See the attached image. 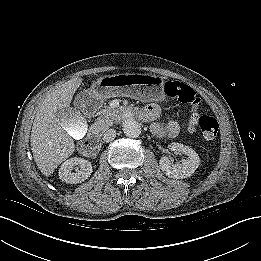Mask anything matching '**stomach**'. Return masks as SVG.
I'll use <instances>...</instances> for the list:
<instances>
[{"label": "stomach", "instance_id": "obj_1", "mask_svg": "<svg viewBox=\"0 0 261 261\" xmlns=\"http://www.w3.org/2000/svg\"><path fill=\"white\" fill-rule=\"evenodd\" d=\"M164 80L155 75L147 74H117L105 76L95 81L88 93L93 111L99 107L102 100L111 97H131L142 101H157L164 97Z\"/></svg>", "mask_w": 261, "mask_h": 261}]
</instances>
